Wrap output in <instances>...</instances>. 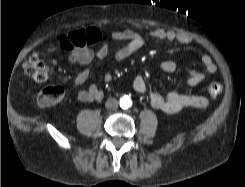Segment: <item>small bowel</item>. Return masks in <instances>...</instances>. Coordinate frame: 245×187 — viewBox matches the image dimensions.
<instances>
[{"label":"small bowel","instance_id":"c3829d8e","mask_svg":"<svg viewBox=\"0 0 245 187\" xmlns=\"http://www.w3.org/2000/svg\"><path fill=\"white\" fill-rule=\"evenodd\" d=\"M87 40L89 43H96L102 40L101 32L96 28H89L85 30ZM149 37L159 41L177 42L180 44H190L192 39L189 35L179 33L173 30H166L156 28L149 32ZM111 38L115 41L125 42L124 46L119 48L114 58L121 62L141 50L146 44V38L139 32L134 30H116L111 33ZM110 53L109 44L102 41L100 47L96 51L90 49L76 50L70 53L69 61L75 64L86 66L80 73H78L73 81L72 86L77 88L82 85L90 75V65L95 61L105 60ZM202 70L192 69L188 72L187 79L184 82L186 87H192L199 84L207 76L214 74L217 71L216 64L210 55H203ZM160 69L166 73H173L176 70V64L173 61L166 60L160 64ZM105 79H111V73L105 74ZM133 89L139 93L147 92V85L143 77L136 76L132 82ZM102 97V91L96 85H91L86 90H79L77 92V99L84 103H90L99 100ZM149 101L153 108L164 113L173 114L181 111L184 108H201L208 104V100L203 96L180 94L174 91H169L165 95L156 92H149Z\"/></svg>","mask_w":245,"mask_h":187}]
</instances>
